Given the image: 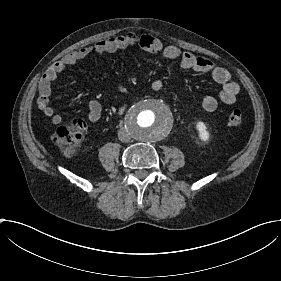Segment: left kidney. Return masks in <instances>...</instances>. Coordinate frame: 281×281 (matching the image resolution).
Returning a JSON list of instances; mask_svg holds the SVG:
<instances>
[{
    "instance_id": "left-kidney-1",
    "label": "left kidney",
    "mask_w": 281,
    "mask_h": 281,
    "mask_svg": "<svg viewBox=\"0 0 281 281\" xmlns=\"http://www.w3.org/2000/svg\"><path fill=\"white\" fill-rule=\"evenodd\" d=\"M194 127L197 132V137L201 142L207 143L210 141L211 132L208 130V126L204 121H196Z\"/></svg>"
}]
</instances>
